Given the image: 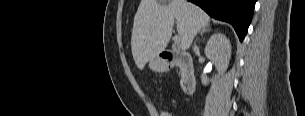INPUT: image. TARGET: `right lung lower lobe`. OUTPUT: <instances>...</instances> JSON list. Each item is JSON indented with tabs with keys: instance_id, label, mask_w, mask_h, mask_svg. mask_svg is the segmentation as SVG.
<instances>
[{
	"instance_id": "98d812e1",
	"label": "right lung lower lobe",
	"mask_w": 305,
	"mask_h": 116,
	"mask_svg": "<svg viewBox=\"0 0 305 116\" xmlns=\"http://www.w3.org/2000/svg\"><path fill=\"white\" fill-rule=\"evenodd\" d=\"M211 17L233 25L240 41L247 33L256 0H189Z\"/></svg>"
}]
</instances>
